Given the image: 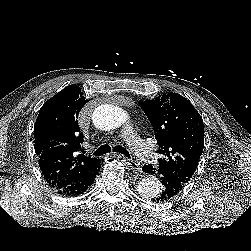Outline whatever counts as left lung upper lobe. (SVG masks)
I'll list each match as a JSON object with an SVG mask.
<instances>
[{
    "mask_svg": "<svg viewBox=\"0 0 251 251\" xmlns=\"http://www.w3.org/2000/svg\"><path fill=\"white\" fill-rule=\"evenodd\" d=\"M148 117L161 154L159 168L176 176L183 185L193 176L204 147L202 117L185 97L167 93L139 101Z\"/></svg>",
    "mask_w": 251,
    "mask_h": 251,
    "instance_id": "1",
    "label": "left lung upper lobe"
}]
</instances>
